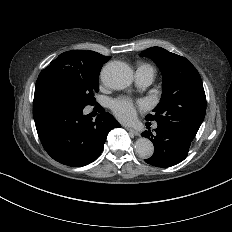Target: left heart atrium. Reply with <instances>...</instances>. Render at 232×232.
<instances>
[{
    "mask_svg": "<svg viewBox=\"0 0 232 232\" xmlns=\"http://www.w3.org/2000/svg\"><path fill=\"white\" fill-rule=\"evenodd\" d=\"M112 107L115 114L123 121H132L135 118V108L129 101H116Z\"/></svg>",
    "mask_w": 232,
    "mask_h": 232,
    "instance_id": "1",
    "label": "left heart atrium"
}]
</instances>
